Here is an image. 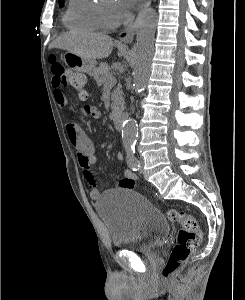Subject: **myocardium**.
<instances>
[{
	"label": "myocardium",
	"mask_w": 245,
	"mask_h": 300,
	"mask_svg": "<svg viewBox=\"0 0 245 300\" xmlns=\"http://www.w3.org/2000/svg\"><path fill=\"white\" fill-rule=\"evenodd\" d=\"M100 16L103 26L107 28H115L120 24L119 17L112 16L106 9L104 5L100 6Z\"/></svg>",
	"instance_id": "myocardium-1"
}]
</instances>
